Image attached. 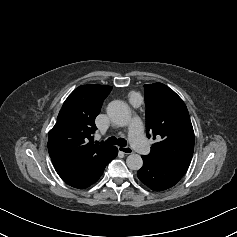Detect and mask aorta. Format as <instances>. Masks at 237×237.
<instances>
[{
	"label": "aorta",
	"mask_w": 237,
	"mask_h": 237,
	"mask_svg": "<svg viewBox=\"0 0 237 237\" xmlns=\"http://www.w3.org/2000/svg\"><path fill=\"white\" fill-rule=\"evenodd\" d=\"M107 114L110 120L117 126H126L130 122V111L128 106L120 100L109 103ZM126 164L130 170H139L143 166V159L138 154H130L126 159Z\"/></svg>",
	"instance_id": "762f6f07"
}]
</instances>
